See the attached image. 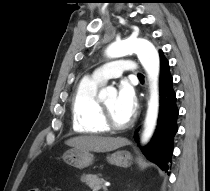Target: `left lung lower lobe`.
Returning a JSON list of instances; mask_svg holds the SVG:
<instances>
[{"label": "left lung lower lobe", "instance_id": "obj_1", "mask_svg": "<svg viewBox=\"0 0 210 191\" xmlns=\"http://www.w3.org/2000/svg\"><path fill=\"white\" fill-rule=\"evenodd\" d=\"M160 109L158 125L152 142L142 152L147 159L156 163L163 171L169 169L168 162L173 153V140L176 135L177 117L179 114L176 105V94L173 90L172 76L169 63L160 51ZM134 138L137 140V131ZM169 174V173H168Z\"/></svg>", "mask_w": 210, "mask_h": 191}]
</instances>
